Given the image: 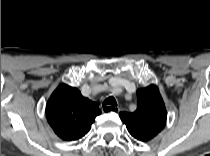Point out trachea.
Instances as JSON below:
<instances>
[{
  "instance_id": "1",
  "label": "trachea",
  "mask_w": 210,
  "mask_h": 156,
  "mask_svg": "<svg viewBox=\"0 0 210 156\" xmlns=\"http://www.w3.org/2000/svg\"><path fill=\"white\" fill-rule=\"evenodd\" d=\"M103 105H112V106H117V102L114 97H108L104 102Z\"/></svg>"
}]
</instances>
